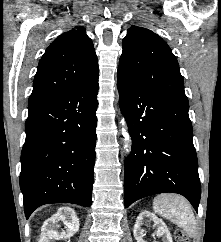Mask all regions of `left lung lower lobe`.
<instances>
[{"label": "left lung lower lobe", "instance_id": "1", "mask_svg": "<svg viewBox=\"0 0 221 242\" xmlns=\"http://www.w3.org/2000/svg\"><path fill=\"white\" fill-rule=\"evenodd\" d=\"M117 81L133 140L125 163V207L146 196L173 192L198 211L201 185L189 106L148 91L119 69Z\"/></svg>", "mask_w": 221, "mask_h": 242}]
</instances>
